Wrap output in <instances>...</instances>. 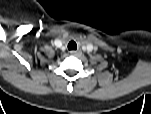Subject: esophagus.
<instances>
[{"label":"esophagus","instance_id":"1","mask_svg":"<svg viewBox=\"0 0 151 114\" xmlns=\"http://www.w3.org/2000/svg\"><path fill=\"white\" fill-rule=\"evenodd\" d=\"M70 54L73 56H79L81 54V51L80 50H72V51H70Z\"/></svg>","mask_w":151,"mask_h":114}]
</instances>
